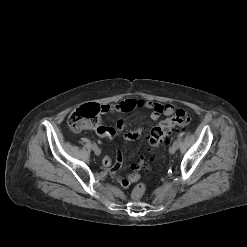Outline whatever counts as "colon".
Listing matches in <instances>:
<instances>
[{"instance_id":"obj_1","label":"colon","mask_w":247,"mask_h":247,"mask_svg":"<svg viewBox=\"0 0 247 247\" xmlns=\"http://www.w3.org/2000/svg\"><path fill=\"white\" fill-rule=\"evenodd\" d=\"M103 112L102 106L98 104H85L71 112L68 118V124L72 131L78 132L84 129L96 128L100 124V114ZM190 123V115L178 109L174 115L151 130L149 143L152 146H158L169 136L180 132ZM144 184H138L132 191V197L139 199L145 192Z\"/></svg>"}]
</instances>
